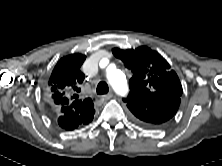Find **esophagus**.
Here are the masks:
<instances>
[{"label": "esophagus", "instance_id": "esophagus-1", "mask_svg": "<svg viewBox=\"0 0 222 166\" xmlns=\"http://www.w3.org/2000/svg\"><path fill=\"white\" fill-rule=\"evenodd\" d=\"M112 96H113V93L110 92V93H108V94H106V95H103V96H102V99L105 100V101H107V100L111 99Z\"/></svg>", "mask_w": 222, "mask_h": 166}]
</instances>
